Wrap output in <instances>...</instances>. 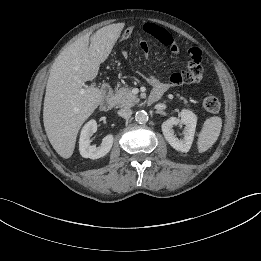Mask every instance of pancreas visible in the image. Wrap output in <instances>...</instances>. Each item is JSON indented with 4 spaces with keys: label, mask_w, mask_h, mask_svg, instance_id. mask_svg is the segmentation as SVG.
I'll list each match as a JSON object with an SVG mask.
<instances>
[{
    "label": "pancreas",
    "mask_w": 261,
    "mask_h": 261,
    "mask_svg": "<svg viewBox=\"0 0 261 261\" xmlns=\"http://www.w3.org/2000/svg\"><path fill=\"white\" fill-rule=\"evenodd\" d=\"M114 101L116 107H131L134 106L139 99L136 95L131 92V89L128 86L121 87L115 91L111 96ZM181 100H183L184 104H188V101L180 96Z\"/></svg>",
    "instance_id": "1"
}]
</instances>
